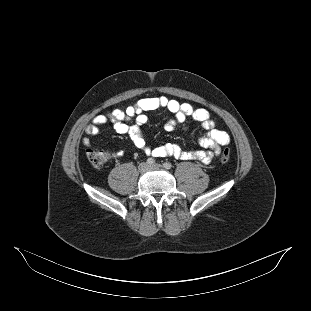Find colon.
<instances>
[{
  "label": "colon",
  "mask_w": 311,
  "mask_h": 311,
  "mask_svg": "<svg viewBox=\"0 0 311 311\" xmlns=\"http://www.w3.org/2000/svg\"><path fill=\"white\" fill-rule=\"evenodd\" d=\"M88 160L95 168H102L109 160L110 154L106 151L88 150ZM230 158V150L224 149L221 153L220 159L222 162H227Z\"/></svg>",
  "instance_id": "colon-1"
}]
</instances>
